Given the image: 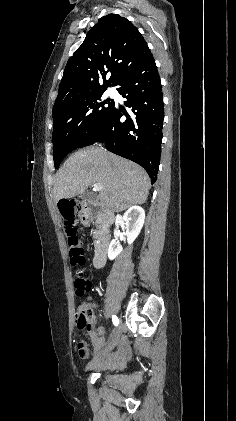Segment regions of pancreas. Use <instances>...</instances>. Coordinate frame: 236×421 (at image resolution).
I'll use <instances>...</instances> for the list:
<instances>
[{"instance_id": "pancreas-1", "label": "pancreas", "mask_w": 236, "mask_h": 421, "mask_svg": "<svg viewBox=\"0 0 236 421\" xmlns=\"http://www.w3.org/2000/svg\"><path fill=\"white\" fill-rule=\"evenodd\" d=\"M95 225H96V231L93 235V239H98V237H100V235H102L103 229H104V225H103V221H102L101 217H98Z\"/></svg>"}]
</instances>
